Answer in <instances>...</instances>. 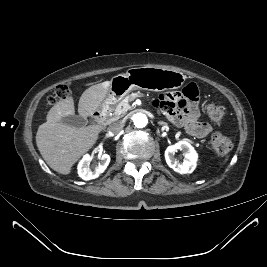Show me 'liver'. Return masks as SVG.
<instances>
[{"label": "liver", "mask_w": 267, "mask_h": 267, "mask_svg": "<svg viewBox=\"0 0 267 267\" xmlns=\"http://www.w3.org/2000/svg\"><path fill=\"white\" fill-rule=\"evenodd\" d=\"M111 81H105L86 89L79 99L78 113L91 116L106 97ZM71 96L57 102L48 112L46 122L36 134V143L45 162L54 171L67 175L72 166L96 143L101 127L89 125L76 128L60 122L63 117L74 115Z\"/></svg>", "instance_id": "1"}]
</instances>
